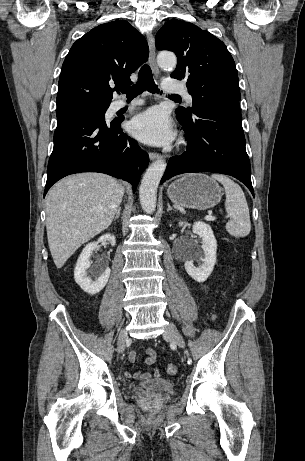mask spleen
<instances>
[{
    "label": "spleen",
    "instance_id": "obj_1",
    "mask_svg": "<svg viewBox=\"0 0 305 461\" xmlns=\"http://www.w3.org/2000/svg\"><path fill=\"white\" fill-rule=\"evenodd\" d=\"M211 178L219 181L225 189V209L230 217L226 224L227 232L235 237H246L251 231V222L248 204L241 187L221 174H212Z\"/></svg>",
    "mask_w": 305,
    "mask_h": 461
}]
</instances>
